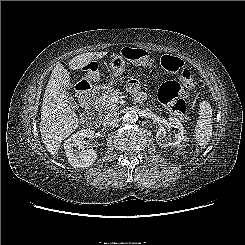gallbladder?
I'll use <instances>...</instances> for the list:
<instances>
[{"label": "gallbladder", "mask_w": 245, "mask_h": 245, "mask_svg": "<svg viewBox=\"0 0 245 245\" xmlns=\"http://www.w3.org/2000/svg\"><path fill=\"white\" fill-rule=\"evenodd\" d=\"M64 95L67 101V104L74 109H78L79 106L78 104L75 102V100L73 99L72 95L68 92L67 89L64 90Z\"/></svg>", "instance_id": "obj_1"}]
</instances>
